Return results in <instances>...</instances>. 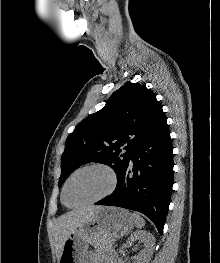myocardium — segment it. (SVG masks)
<instances>
[{
  "label": "myocardium",
  "mask_w": 220,
  "mask_h": 263,
  "mask_svg": "<svg viewBox=\"0 0 220 263\" xmlns=\"http://www.w3.org/2000/svg\"><path fill=\"white\" fill-rule=\"evenodd\" d=\"M87 169H101L108 174L109 179H110V183H109L107 190L104 193H102L101 195H99L95 198H92L90 200H87L85 202H82V203H79L76 205H68L65 202V194H66V190L68 188L70 181L73 179V177L75 175H77L78 173H80L84 170H87ZM117 184H118V177H117L115 170L112 167H110L109 165L104 164V163H90V164L79 167L74 172H72L71 175L67 178V180L64 183L63 189H62V202L65 206H67L69 208H78V207L86 206L89 204L97 203V202L107 198L109 195H111L115 191Z\"/></svg>",
  "instance_id": "f54148a6"
}]
</instances>
